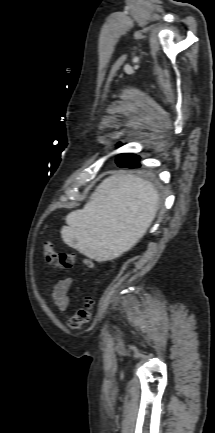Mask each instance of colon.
Listing matches in <instances>:
<instances>
[{
	"instance_id": "obj_1",
	"label": "colon",
	"mask_w": 215,
	"mask_h": 433,
	"mask_svg": "<svg viewBox=\"0 0 215 433\" xmlns=\"http://www.w3.org/2000/svg\"><path fill=\"white\" fill-rule=\"evenodd\" d=\"M44 257L50 266L63 270L71 269L74 266L76 259L74 253L58 251L50 243H45L44 245ZM90 263V261H86L87 265ZM93 307L94 300L91 297H86L82 306L69 318V328L72 330H79L88 324L92 317Z\"/></svg>"
}]
</instances>
